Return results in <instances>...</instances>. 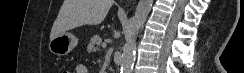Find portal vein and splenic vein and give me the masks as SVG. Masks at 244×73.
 <instances>
[{
	"mask_svg": "<svg viewBox=\"0 0 244 73\" xmlns=\"http://www.w3.org/2000/svg\"><path fill=\"white\" fill-rule=\"evenodd\" d=\"M107 47V44L106 43H102V48H106Z\"/></svg>",
	"mask_w": 244,
	"mask_h": 73,
	"instance_id": "1",
	"label": "portal vein and splenic vein"
}]
</instances>
